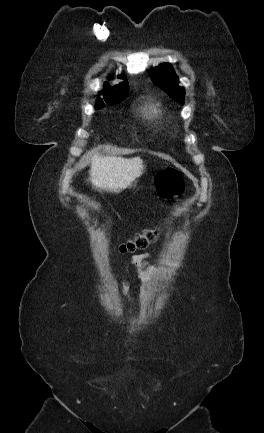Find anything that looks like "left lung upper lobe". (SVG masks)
Here are the masks:
<instances>
[{"label": "left lung upper lobe", "mask_w": 264, "mask_h": 433, "mask_svg": "<svg viewBox=\"0 0 264 433\" xmlns=\"http://www.w3.org/2000/svg\"><path fill=\"white\" fill-rule=\"evenodd\" d=\"M153 82L164 90L173 100L183 104V88L178 86V77L170 64H160L149 71Z\"/></svg>", "instance_id": "left-lung-upper-lobe-1"}]
</instances>
